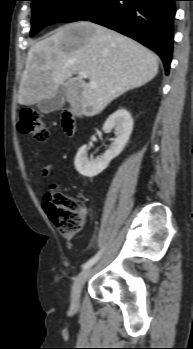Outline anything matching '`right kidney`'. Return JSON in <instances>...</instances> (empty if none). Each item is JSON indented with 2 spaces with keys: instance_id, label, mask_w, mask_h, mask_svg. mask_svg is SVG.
<instances>
[{
  "instance_id": "obj_1",
  "label": "right kidney",
  "mask_w": 193,
  "mask_h": 349,
  "mask_svg": "<svg viewBox=\"0 0 193 349\" xmlns=\"http://www.w3.org/2000/svg\"><path fill=\"white\" fill-rule=\"evenodd\" d=\"M110 129H114L116 138L101 158L89 160L86 145L78 150L74 166L79 174L90 178L97 176L108 167L112 159L123 151L133 130L131 114L123 108L114 112L103 126V131Z\"/></svg>"
}]
</instances>
